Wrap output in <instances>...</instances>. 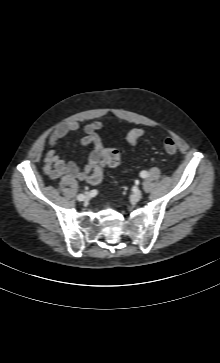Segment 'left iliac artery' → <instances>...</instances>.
<instances>
[{"mask_svg": "<svg viewBox=\"0 0 220 363\" xmlns=\"http://www.w3.org/2000/svg\"><path fill=\"white\" fill-rule=\"evenodd\" d=\"M140 176H141L142 178H146V177L148 176V172H147V171H142V172L140 173Z\"/></svg>", "mask_w": 220, "mask_h": 363, "instance_id": "44dca946", "label": "left iliac artery"}]
</instances>
